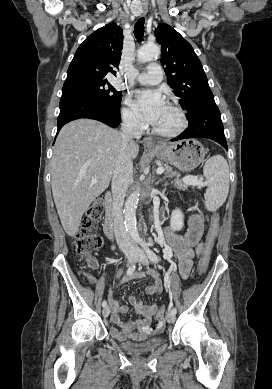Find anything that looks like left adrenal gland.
Segmentation results:
<instances>
[{"instance_id": "a2214340", "label": "left adrenal gland", "mask_w": 272, "mask_h": 389, "mask_svg": "<svg viewBox=\"0 0 272 389\" xmlns=\"http://www.w3.org/2000/svg\"><path fill=\"white\" fill-rule=\"evenodd\" d=\"M162 180L160 179L159 181L156 182V184H159Z\"/></svg>"}]
</instances>
